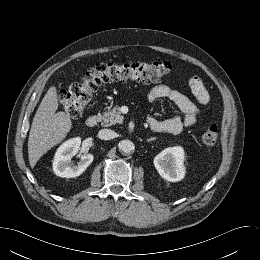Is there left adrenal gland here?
Segmentation results:
<instances>
[{
    "mask_svg": "<svg viewBox=\"0 0 260 260\" xmlns=\"http://www.w3.org/2000/svg\"><path fill=\"white\" fill-rule=\"evenodd\" d=\"M155 139H156V137H153V138L147 139V142L153 141V140H155Z\"/></svg>",
    "mask_w": 260,
    "mask_h": 260,
    "instance_id": "1",
    "label": "left adrenal gland"
}]
</instances>
